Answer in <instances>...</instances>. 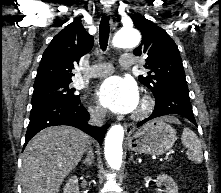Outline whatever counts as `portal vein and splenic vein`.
I'll return each instance as SVG.
<instances>
[{"mask_svg":"<svg viewBox=\"0 0 221 193\" xmlns=\"http://www.w3.org/2000/svg\"><path fill=\"white\" fill-rule=\"evenodd\" d=\"M167 158H168V155H166L165 159H167Z\"/></svg>","mask_w":221,"mask_h":193,"instance_id":"obj_1","label":"portal vein and splenic vein"}]
</instances>
